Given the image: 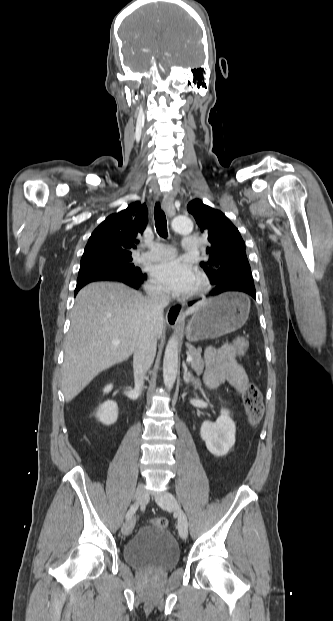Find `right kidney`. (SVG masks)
I'll return each instance as SVG.
<instances>
[{
    "label": "right kidney",
    "mask_w": 333,
    "mask_h": 621,
    "mask_svg": "<svg viewBox=\"0 0 333 621\" xmlns=\"http://www.w3.org/2000/svg\"><path fill=\"white\" fill-rule=\"evenodd\" d=\"M113 386L108 385L104 388V393L112 390ZM96 418L104 425H112L118 419V406L114 401H106L101 404L96 412Z\"/></svg>",
    "instance_id": "right-kidney-1"
}]
</instances>
